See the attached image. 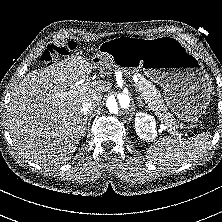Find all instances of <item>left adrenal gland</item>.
<instances>
[{"mask_svg": "<svg viewBox=\"0 0 222 222\" xmlns=\"http://www.w3.org/2000/svg\"><path fill=\"white\" fill-rule=\"evenodd\" d=\"M140 107H146L143 101L138 97L137 98Z\"/></svg>", "mask_w": 222, "mask_h": 222, "instance_id": "a2214340", "label": "left adrenal gland"}]
</instances>
